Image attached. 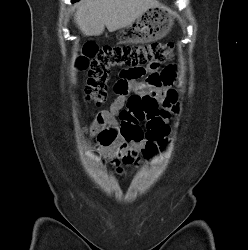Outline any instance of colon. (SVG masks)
Returning <instances> with one entry per match:
<instances>
[{
    "label": "colon",
    "instance_id": "5ec220e1",
    "mask_svg": "<svg viewBox=\"0 0 248 250\" xmlns=\"http://www.w3.org/2000/svg\"><path fill=\"white\" fill-rule=\"evenodd\" d=\"M173 55L171 43L155 42L139 46H103L86 43L81 47L76 66L88 71V81L85 88L87 100L94 104L105 101L109 89V74L114 68H131L127 75L131 78L140 76L143 66L157 68L159 64L170 59ZM173 75L168 70L152 74L148 82L156 88H166L171 84ZM165 100H175L172 91L165 93ZM160 106V101L153 95L133 93L128 100V108L138 120H144L152 115ZM164 136L156 138L159 146L164 143Z\"/></svg>",
    "mask_w": 248,
    "mask_h": 250
}]
</instances>
